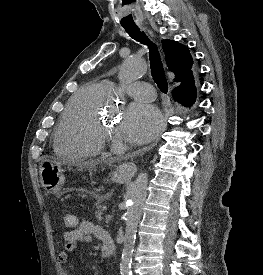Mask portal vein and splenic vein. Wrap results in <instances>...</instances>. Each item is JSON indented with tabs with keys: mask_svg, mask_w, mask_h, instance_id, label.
<instances>
[{
	"mask_svg": "<svg viewBox=\"0 0 263 275\" xmlns=\"http://www.w3.org/2000/svg\"><path fill=\"white\" fill-rule=\"evenodd\" d=\"M111 218H112L111 215H107V216H106V220H110Z\"/></svg>",
	"mask_w": 263,
	"mask_h": 275,
	"instance_id": "portal-vein-and-splenic-vein-1",
	"label": "portal vein and splenic vein"
}]
</instances>
